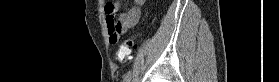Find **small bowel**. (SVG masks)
Listing matches in <instances>:
<instances>
[{
	"label": "small bowel",
	"instance_id": "1",
	"mask_svg": "<svg viewBox=\"0 0 279 82\" xmlns=\"http://www.w3.org/2000/svg\"><path fill=\"white\" fill-rule=\"evenodd\" d=\"M143 2V0H134V6L120 14L116 22L114 21V16L119 9V2L116 1L105 5V16L111 44L116 45L122 34L138 24L140 20V7Z\"/></svg>",
	"mask_w": 279,
	"mask_h": 82
}]
</instances>
